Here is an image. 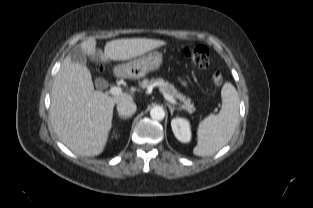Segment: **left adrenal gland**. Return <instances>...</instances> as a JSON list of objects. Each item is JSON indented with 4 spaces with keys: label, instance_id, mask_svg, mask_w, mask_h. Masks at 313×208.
<instances>
[{
    "label": "left adrenal gland",
    "instance_id": "left-adrenal-gland-1",
    "mask_svg": "<svg viewBox=\"0 0 313 208\" xmlns=\"http://www.w3.org/2000/svg\"><path fill=\"white\" fill-rule=\"evenodd\" d=\"M167 105H168V107H169V109H170L171 116L173 115V112H174L175 109L181 110V108H176V107H174V106H171L170 104H167Z\"/></svg>",
    "mask_w": 313,
    "mask_h": 208
}]
</instances>
